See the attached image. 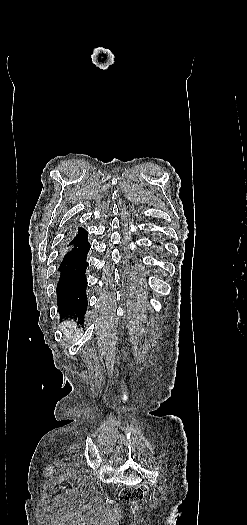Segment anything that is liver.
I'll return each mask as SVG.
<instances>
[{
    "label": "liver",
    "mask_w": 247,
    "mask_h": 525,
    "mask_svg": "<svg viewBox=\"0 0 247 525\" xmlns=\"http://www.w3.org/2000/svg\"><path fill=\"white\" fill-rule=\"evenodd\" d=\"M76 329V323H71V321H64V329H62V331H64V341H69V339H71L74 331ZM79 331H81V329H79ZM77 333V335H82V333Z\"/></svg>",
    "instance_id": "obj_1"
}]
</instances>
